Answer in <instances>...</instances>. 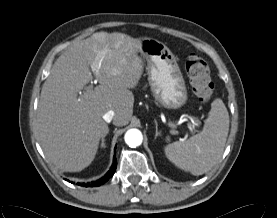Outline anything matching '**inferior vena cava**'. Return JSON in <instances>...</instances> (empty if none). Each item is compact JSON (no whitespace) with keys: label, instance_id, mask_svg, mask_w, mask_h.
I'll list each match as a JSON object with an SVG mask.
<instances>
[{"label":"inferior vena cava","instance_id":"obj_1","mask_svg":"<svg viewBox=\"0 0 277 218\" xmlns=\"http://www.w3.org/2000/svg\"><path fill=\"white\" fill-rule=\"evenodd\" d=\"M114 116H115V112L113 110H109L103 115V119L107 123H110L112 121V119L114 118Z\"/></svg>","mask_w":277,"mask_h":218}]
</instances>
